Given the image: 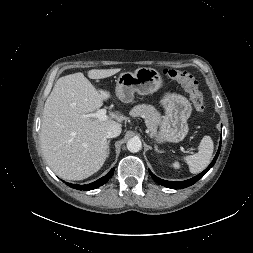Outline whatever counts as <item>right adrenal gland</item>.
Returning a JSON list of instances; mask_svg holds the SVG:
<instances>
[{"label":"right adrenal gland","mask_w":253,"mask_h":253,"mask_svg":"<svg viewBox=\"0 0 253 253\" xmlns=\"http://www.w3.org/2000/svg\"><path fill=\"white\" fill-rule=\"evenodd\" d=\"M110 154V140L107 141V157Z\"/></svg>","instance_id":"1"}]
</instances>
